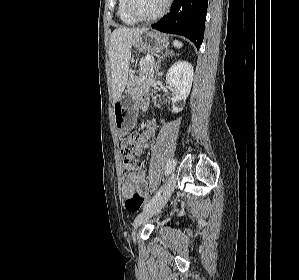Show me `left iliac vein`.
<instances>
[{
    "mask_svg": "<svg viewBox=\"0 0 299 280\" xmlns=\"http://www.w3.org/2000/svg\"><path fill=\"white\" fill-rule=\"evenodd\" d=\"M175 186H176V174L172 173L167 180L165 189H164L163 194L160 197V199L154 205L148 207L146 210L141 212L135 218L134 223H133V233H132L134 241H135L137 228L144 221H146L147 219H149L150 217H152L154 214H156L157 212H159L162 209V207L166 204V202L170 198L171 194L173 193Z\"/></svg>",
    "mask_w": 299,
    "mask_h": 280,
    "instance_id": "left-iliac-vein-1",
    "label": "left iliac vein"
}]
</instances>
